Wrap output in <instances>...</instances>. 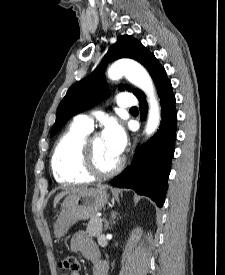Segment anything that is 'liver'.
Instances as JSON below:
<instances>
[{
  "label": "liver",
  "instance_id": "liver-1",
  "mask_svg": "<svg viewBox=\"0 0 225 275\" xmlns=\"http://www.w3.org/2000/svg\"><path fill=\"white\" fill-rule=\"evenodd\" d=\"M87 187H79V188H72L70 190H66V191H62L59 194L56 195V197L54 198V207L58 204V202L67 194H73V193H77V192H81V191H85L87 190Z\"/></svg>",
  "mask_w": 225,
  "mask_h": 275
}]
</instances>
